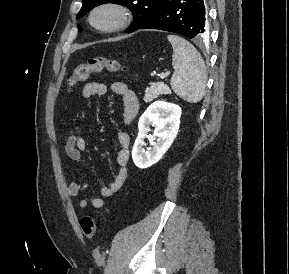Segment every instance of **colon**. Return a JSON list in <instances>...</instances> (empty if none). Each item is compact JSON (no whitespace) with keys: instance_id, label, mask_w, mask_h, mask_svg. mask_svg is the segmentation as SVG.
I'll use <instances>...</instances> for the list:
<instances>
[{"instance_id":"colon-1","label":"colon","mask_w":289,"mask_h":274,"mask_svg":"<svg viewBox=\"0 0 289 274\" xmlns=\"http://www.w3.org/2000/svg\"><path fill=\"white\" fill-rule=\"evenodd\" d=\"M124 70L125 67H123L116 60H112L106 57H92L89 58L86 62L80 63L75 67L67 83L69 87H73L77 83L87 80L91 74L100 73L102 71L114 73ZM80 226L83 234L87 238L92 239L95 236L97 223L93 217H82L80 220Z\"/></svg>"}]
</instances>
